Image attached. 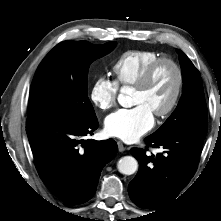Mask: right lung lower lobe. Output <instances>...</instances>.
<instances>
[{"instance_id": "98d812e1", "label": "right lung lower lobe", "mask_w": 221, "mask_h": 221, "mask_svg": "<svg viewBox=\"0 0 221 221\" xmlns=\"http://www.w3.org/2000/svg\"><path fill=\"white\" fill-rule=\"evenodd\" d=\"M97 128V118L72 120L47 114L27 120L26 132L39 176L67 204H82L92 198L102 168L117 153L113 139H81Z\"/></svg>"}]
</instances>
